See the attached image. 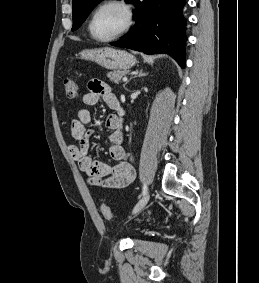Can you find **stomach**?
<instances>
[{"mask_svg":"<svg viewBox=\"0 0 259 283\" xmlns=\"http://www.w3.org/2000/svg\"><path fill=\"white\" fill-rule=\"evenodd\" d=\"M80 57L94 61L106 69L127 70L136 64L132 54L111 47L85 49L80 52Z\"/></svg>","mask_w":259,"mask_h":283,"instance_id":"stomach-1","label":"stomach"}]
</instances>
